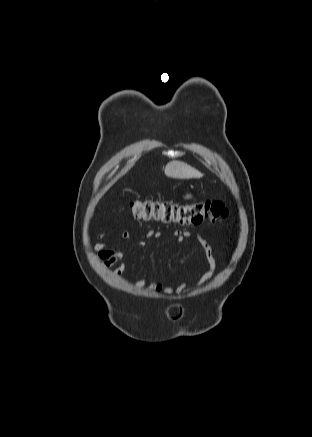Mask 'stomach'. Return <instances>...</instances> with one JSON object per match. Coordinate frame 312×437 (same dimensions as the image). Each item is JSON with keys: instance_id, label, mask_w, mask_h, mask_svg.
I'll return each mask as SVG.
<instances>
[{"instance_id": "obj_1", "label": "stomach", "mask_w": 312, "mask_h": 437, "mask_svg": "<svg viewBox=\"0 0 312 437\" xmlns=\"http://www.w3.org/2000/svg\"><path fill=\"white\" fill-rule=\"evenodd\" d=\"M185 199H192L193 195L191 193H188L184 196Z\"/></svg>"}]
</instances>
